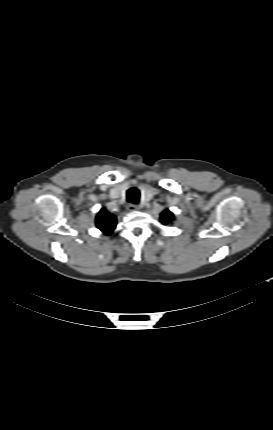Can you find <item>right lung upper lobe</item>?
<instances>
[{
    "label": "right lung upper lobe",
    "instance_id": "1",
    "mask_svg": "<svg viewBox=\"0 0 273 430\" xmlns=\"http://www.w3.org/2000/svg\"><path fill=\"white\" fill-rule=\"evenodd\" d=\"M96 226L105 234L113 232L116 226V217L105 209H101L96 216Z\"/></svg>",
    "mask_w": 273,
    "mask_h": 430
}]
</instances>
